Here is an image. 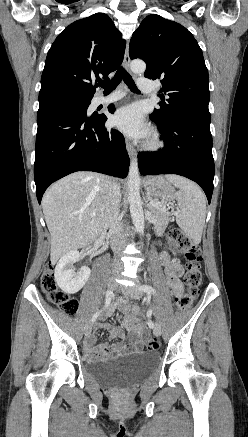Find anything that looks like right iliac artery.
I'll return each instance as SVG.
<instances>
[{
	"label": "right iliac artery",
	"instance_id": "right-iliac-artery-1",
	"mask_svg": "<svg viewBox=\"0 0 248 437\" xmlns=\"http://www.w3.org/2000/svg\"><path fill=\"white\" fill-rule=\"evenodd\" d=\"M111 297H112V291H111V290H108V291L106 292V299H105V305H104V308H106V307L110 304ZM104 308H103V309H104ZM101 311H102V310H101ZM101 311L96 312V313L92 316V319H91L92 323H94V322L96 321V319H97V317L99 316V314H100Z\"/></svg>",
	"mask_w": 248,
	"mask_h": 437
}]
</instances>
